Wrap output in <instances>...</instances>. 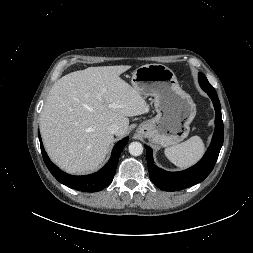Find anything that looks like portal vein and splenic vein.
Listing matches in <instances>:
<instances>
[{"label":"portal vein and splenic vein","instance_id":"portal-vein-and-splenic-vein-1","mask_svg":"<svg viewBox=\"0 0 253 253\" xmlns=\"http://www.w3.org/2000/svg\"><path fill=\"white\" fill-rule=\"evenodd\" d=\"M110 107H111V108H116V105L111 104Z\"/></svg>","mask_w":253,"mask_h":253}]
</instances>
